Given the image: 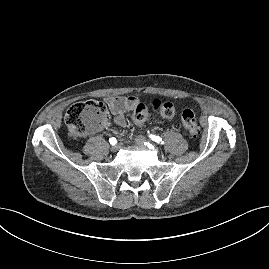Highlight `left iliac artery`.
<instances>
[{"label": "left iliac artery", "mask_w": 269, "mask_h": 269, "mask_svg": "<svg viewBox=\"0 0 269 269\" xmlns=\"http://www.w3.org/2000/svg\"><path fill=\"white\" fill-rule=\"evenodd\" d=\"M149 138H150L151 140L155 141V142L158 143V144H163V141H162V139H161L159 136L150 134V135H149Z\"/></svg>", "instance_id": "44dca946"}]
</instances>
